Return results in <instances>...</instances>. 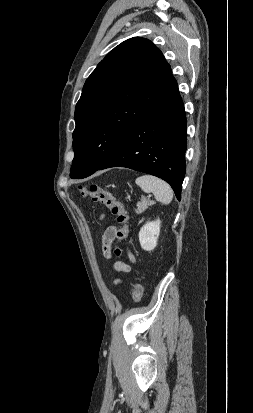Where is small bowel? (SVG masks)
<instances>
[{"mask_svg":"<svg viewBox=\"0 0 253 413\" xmlns=\"http://www.w3.org/2000/svg\"><path fill=\"white\" fill-rule=\"evenodd\" d=\"M115 234H116V227L115 226H110L108 227L104 234H103V238H102V249H103V253L107 258L111 257V245L115 239ZM129 258L132 262L135 261V257L133 256L132 253L129 252ZM113 268L115 271L117 272H130L131 270V266L123 261H116L113 265ZM116 284L121 283L120 279L115 280Z\"/></svg>","mask_w":253,"mask_h":413,"instance_id":"c3829d8e","label":"small bowel"}]
</instances>
